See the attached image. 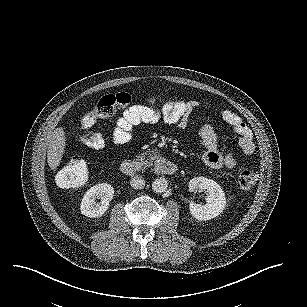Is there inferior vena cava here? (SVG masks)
I'll return each mask as SVG.
<instances>
[{
  "instance_id": "inferior-vena-cava-1",
  "label": "inferior vena cava",
  "mask_w": 307,
  "mask_h": 307,
  "mask_svg": "<svg viewBox=\"0 0 307 307\" xmlns=\"http://www.w3.org/2000/svg\"><path fill=\"white\" fill-rule=\"evenodd\" d=\"M130 184H131L133 189L141 190V189H143L145 187L146 182H145L143 177H141L139 175H136V176H133L131 178Z\"/></svg>"
}]
</instances>
